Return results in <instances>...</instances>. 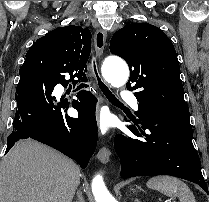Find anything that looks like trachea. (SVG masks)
Masks as SVG:
<instances>
[{
    "label": "trachea",
    "instance_id": "trachea-1",
    "mask_svg": "<svg viewBox=\"0 0 209 202\" xmlns=\"http://www.w3.org/2000/svg\"><path fill=\"white\" fill-rule=\"evenodd\" d=\"M94 71L98 80V85L101 91L104 93V95L107 97V99L112 103L121 104V102L112 94V92L106 87V85L101 81V79L98 76L95 64H94ZM88 87L87 84L81 83L79 85V88Z\"/></svg>",
    "mask_w": 209,
    "mask_h": 202
}]
</instances>
